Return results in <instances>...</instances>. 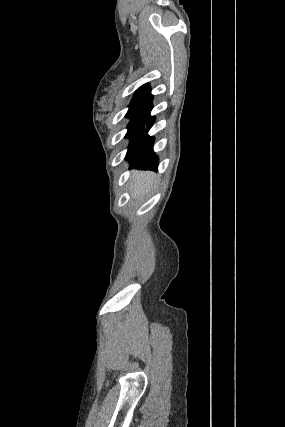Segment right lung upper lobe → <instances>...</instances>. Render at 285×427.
Listing matches in <instances>:
<instances>
[{"label": "right lung upper lobe", "instance_id": "obj_1", "mask_svg": "<svg viewBox=\"0 0 285 427\" xmlns=\"http://www.w3.org/2000/svg\"><path fill=\"white\" fill-rule=\"evenodd\" d=\"M152 99L150 87L145 84L141 86L135 93L130 105L126 117H139L148 116L152 110Z\"/></svg>", "mask_w": 285, "mask_h": 427}]
</instances>
